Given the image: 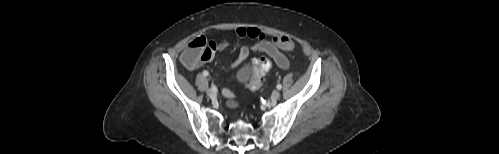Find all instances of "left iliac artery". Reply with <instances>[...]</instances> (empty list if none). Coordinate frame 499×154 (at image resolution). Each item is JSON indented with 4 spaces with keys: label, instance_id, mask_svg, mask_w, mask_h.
<instances>
[{
    "label": "left iliac artery",
    "instance_id": "44dca946",
    "mask_svg": "<svg viewBox=\"0 0 499 154\" xmlns=\"http://www.w3.org/2000/svg\"><path fill=\"white\" fill-rule=\"evenodd\" d=\"M282 88V85L281 84H278L277 85V89L280 90Z\"/></svg>",
    "mask_w": 499,
    "mask_h": 154
}]
</instances>
